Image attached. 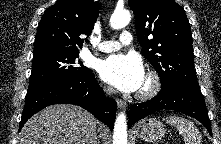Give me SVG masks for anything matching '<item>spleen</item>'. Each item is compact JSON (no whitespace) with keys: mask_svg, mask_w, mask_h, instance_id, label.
Returning a JSON list of instances; mask_svg holds the SVG:
<instances>
[{"mask_svg":"<svg viewBox=\"0 0 221 144\" xmlns=\"http://www.w3.org/2000/svg\"><path fill=\"white\" fill-rule=\"evenodd\" d=\"M167 123L176 127L183 136L185 144H201L202 135L197 127L189 120L179 116H169L164 118Z\"/></svg>","mask_w":221,"mask_h":144,"instance_id":"obj_1","label":"spleen"}]
</instances>
